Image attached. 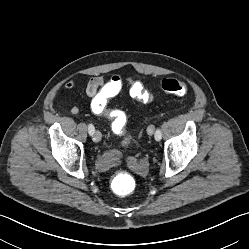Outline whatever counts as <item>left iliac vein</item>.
I'll return each instance as SVG.
<instances>
[{
	"instance_id": "1",
	"label": "left iliac vein",
	"mask_w": 249,
	"mask_h": 249,
	"mask_svg": "<svg viewBox=\"0 0 249 249\" xmlns=\"http://www.w3.org/2000/svg\"><path fill=\"white\" fill-rule=\"evenodd\" d=\"M147 132L149 135H152L154 133V126L153 125L149 126Z\"/></svg>"
}]
</instances>
